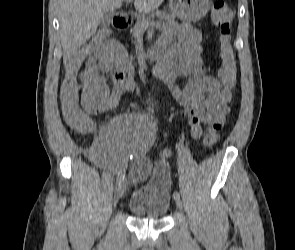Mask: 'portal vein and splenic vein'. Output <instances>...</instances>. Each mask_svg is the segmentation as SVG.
<instances>
[{
    "mask_svg": "<svg viewBox=\"0 0 295 250\" xmlns=\"http://www.w3.org/2000/svg\"><path fill=\"white\" fill-rule=\"evenodd\" d=\"M133 0H126V2L131 3ZM161 25L160 21H152L150 23H143L142 27H145L146 29L151 26V27H159Z\"/></svg>",
    "mask_w": 295,
    "mask_h": 250,
    "instance_id": "18ae733b",
    "label": "portal vein and splenic vein"
}]
</instances>
